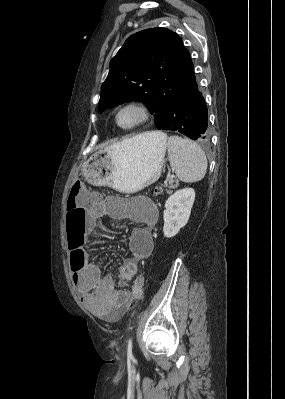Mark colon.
Wrapping results in <instances>:
<instances>
[{
	"label": "colon",
	"instance_id": "colon-1",
	"mask_svg": "<svg viewBox=\"0 0 285 399\" xmlns=\"http://www.w3.org/2000/svg\"><path fill=\"white\" fill-rule=\"evenodd\" d=\"M85 189L86 186L84 185L83 182L76 181L72 186V195H78L79 193L85 191ZM160 193H161V188H156L155 194L159 195ZM67 210H68V220L71 224L80 223L87 218L86 212L83 209H81V207H79L77 203L73 201L72 198H70L67 203ZM68 246L72 253L71 269L74 271H78L84 266L85 255H84V250L81 247V244L78 242L77 237L72 232L68 233ZM142 292H143V279L141 277H138L135 280L133 293L135 295L140 296Z\"/></svg>",
	"mask_w": 285,
	"mask_h": 399
}]
</instances>
